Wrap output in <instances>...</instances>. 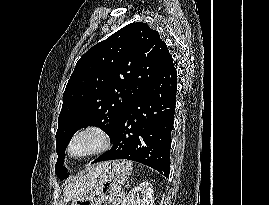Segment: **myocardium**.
I'll return each mask as SVG.
<instances>
[{"label": "myocardium", "mask_w": 269, "mask_h": 205, "mask_svg": "<svg viewBox=\"0 0 269 205\" xmlns=\"http://www.w3.org/2000/svg\"><path fill=\"white\" fill-rule=\"evenodd\" d=\"M85 133H94L98 136L99 140H100V145L93 151L81 155V156H75L72 154V144L73 142L76 140L77 137H79L82 134ZM112 146V138L110 133L107 131V129L101 125V124H97V123H92V124H87L84 125L80 128H78L70 137L68 144H67V154L69 157L73 158V159H77V160H83V159H87V158H91L94 156H98L101 155L103 153H105L106 151H108Z\"/></svg>", "instance_id": "1"}]
</instances>
